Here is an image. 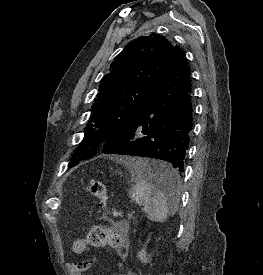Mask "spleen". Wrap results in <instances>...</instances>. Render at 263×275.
<instances>
[{
    "instance_id": "3e777b00",
    "label": "spleen",
    "mask_w": 263,
    "mask_h": 275,
    "mask_svg": "<svg viewBox=\"0 0 263 275\" xmlns=\"http://www.w3.org/2000/svg\"><path fill=\"white\" fill-rule=\"evenodd\" d=\"M122 164L131 173V178L135 185L132 191V200L139 206H142V211L146 214V217L153 222H165L169 214V208L171 201L167 196L159 189L155 188L149 179L144 174V170L158 169V170H170L168 164L164 162L149 161L144 158H126L122 160ZM179 191V178H177L176 186L173 192L170 194L174 196L173 204L178 201Z\"/></svg>"
}]
</instances>
